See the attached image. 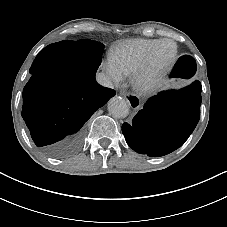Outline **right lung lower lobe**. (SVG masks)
Instances as JSON below:
<instances>
[{"mask_svg":"<svg viewBox=\"0 0 227 227\" xmlns=\"http://www.w3.org/2000/svg\"><path fill=\"white\" fill-rule=\"evenodd\" d=\"M72 41L45 47L31 67L23 90L22 117L36 146L47 156L62 158L82 143V127L115 91L100 86L96 73L83 72L71 61Z\"/></svg>","mask_w":227,"mask_h":227,"instance_id":"right-lung-lower-lobe-1","label":"right lung lower lobe"}]
</instances>
